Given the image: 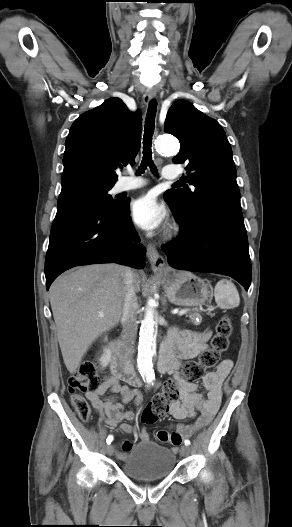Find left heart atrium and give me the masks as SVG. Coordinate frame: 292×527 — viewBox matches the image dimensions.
<instances>
[{"label": "left heart atrium", "mask_w": 292, "mask_h": 527, "mask_svg": "<svg viewBox=\"0 0 292 527\" xmlns=\"http://www.w3.org/2000/svg\"><path fill=\"white\" fill-rule=\"evenodd\" d=\"M134 222L145 230L158 229L165 220V210L152 194L137 198L131 208Z\"/></svg>", "instance_id": "39dd6f15"}]
</instances>
